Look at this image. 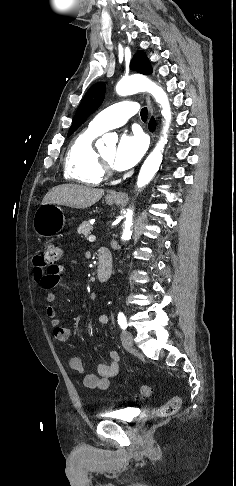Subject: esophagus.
<instances>
[{"label": "esophagus", "instance_id": "1", "mask_svg": "<svg viewBox=\"0 0 236 486\" xmlns=\"http://www.w3.org/2000/svg\"><path fill=\"white\" fill-rule=\"evenodd\" d=\"M146 101H147V104H148V108H149L150 115H152L153 114V108H152V104H151V101H150L149 97H146ZM109 196L110 197H118L119 194L116 193V192H114V191H112V192L109 193Z\"/></svg>", "mask_w": 236, "mask_h": 486}]
</instances>
